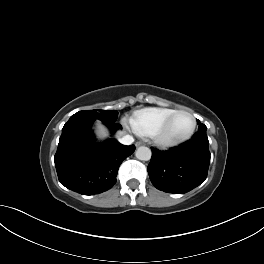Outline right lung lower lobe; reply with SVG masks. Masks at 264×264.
Instances as JSON below:
<instances>
[{
  "instance_id": "1",
  "label": "right lung lower lobe",
  "mask_w": 264,
  "mask_h": 264,
  "mask_svg": "<svg viewBox=\"0 0 264 264\" xmlns=\"http://www.w3.org/2000/svg\"><path fill=\"white\" fill-rule=\"evenodd\" d=\"M93 122L84 117L70 118L62 129L54 157L60 183L82 195L99 194L113 187L119 166L135 150V145L125 146L113 138L96 143ZM104 124L112 133L121 128L115 122Z\"/></svg>"
}]
</instances>
